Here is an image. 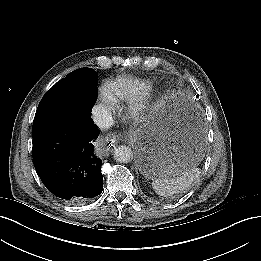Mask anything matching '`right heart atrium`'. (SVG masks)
I'll return each mask as SVG.
<instances>
[{
	"mask_svg": "<svg viewBox=\"0 0 261 261\" xmlns=\"http://www.w3.org/2000/svg\"><path fill=\"white\" fill-rule=\"evenodd\" d=\"M115 100L111 94L105 91L102 94V101L101 104L98 106L99 113L103 114L106 119H109L111 115L114 113L115 109Z\"/></svg>",
	"mask_w": 261,
	"mask_h": 261,
	"instance_id": "obj_1",
	"label": "right heart atrium"
}]
</instances>
